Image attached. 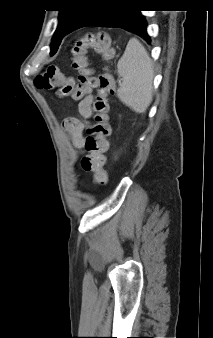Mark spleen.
Returning a JSON list of instances; mask_svg holds the SVG:
<instances>
[{
	"label": "spleen",
	"instance_id": "3e777b00",
	"mask_svg": "<svg viewBox=\"0 0 213 338\" xmlns=\"http://www.w3.org/2000/svg\"><path fill=\"white\" fill-rule=\"evenodd\" d=\"M117 69L122 77L118 98L133 111L145 112L153 98L154 71L151 58L138 39L129 40Z\"/></svg>",
	"mask_w": 213,
	"mask_h": 338
}]
</instances>
